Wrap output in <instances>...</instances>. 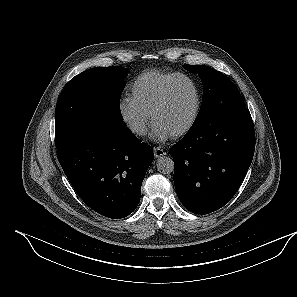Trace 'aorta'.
Listing matches in <instances>:
<instances>
[{"label":"aorta","instance_id":"aorta-1","mask_svg":"<svg viewBox=\"0 0 297 297\" xmlns=\"http://www.w3.org/2000/svg\"><path fill=\"white\" fill-rule=\"evenodd\" d=\"M157 170L162 174H169L174 171V162L172 158L161 156L156 162Z\"/></svg>","mask_w":297,"mask_h":297}]
</instances>
